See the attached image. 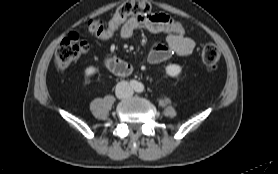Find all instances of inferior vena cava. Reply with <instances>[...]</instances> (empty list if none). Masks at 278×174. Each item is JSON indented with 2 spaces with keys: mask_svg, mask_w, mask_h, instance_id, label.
Returning a JSON list of instances; mask_svg holds the SVG:
<instances>
[{
  "mask_svg": "<svg viewBox=\"0 0 278 174\" xmlns=\"http://www.w3.org/2000/svg\"><path fill=\"white\" fill-rule=\"evenodd\" d=\"M116 92L120 98H127V97L132 96L133 89L131 88V86L128 82L121 81L117 84Z\"/></svg>",
  "mask_w": 278,
  "mask_h": 174,
  "instance_id": "602c4592",
  "label": "inferior vena cava"
}]
</instances>
